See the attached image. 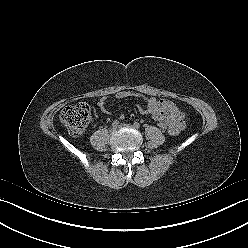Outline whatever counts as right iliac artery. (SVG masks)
I'll use <instances>...</instances> for the list:
<instances>
[{
	"label": "right iliac artery",
	"instance_id": "82829eb1",
	"mask_svg": "<svg viewBox=\"0 0 248 248\" xmlns=\"http://www.w3.org/2000/svg\"><path fill=\"white\" fill-rule=\"evenodd\" d=\"M119 125V121L115 120L112 122V127H117Z\"/></svg>",
	"mask_w": 248,
	"mask_h": 248
}]
</instances>
